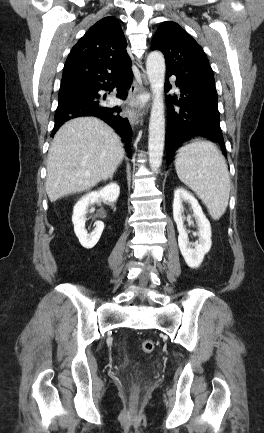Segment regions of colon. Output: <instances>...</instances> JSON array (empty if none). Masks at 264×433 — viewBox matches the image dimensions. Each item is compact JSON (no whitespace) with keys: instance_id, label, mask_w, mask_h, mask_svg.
Returning <instances> with one entry per match:
<instances>
[{"instance_id":"obj_1","label":"colon","mask_w":264,"mask_h":433,"mask_svg":"<svg viewBox=\"0 0 264 433\" xmlns=\"http://www.w3.org/2000/svg\"><path fill=\"white\" fill-rule=\"evenodd\" d=\"M141 349L144 353L150 354L155 349V343L151 339H145L141 343Z\"/></svg>"}]
</instances>
